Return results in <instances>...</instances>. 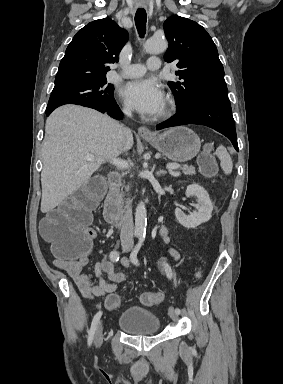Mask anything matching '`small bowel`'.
<instances>
[{
	"label": "small bowel",
	"instance_id": "1",
	"mask_svg": "<svg viewBox=\"0 0 283 384\" xmlns=\"http://www.w3.org/2000/svg\"><path fill=\"white\" fill-rule=\"evenodd\" d=\"M159 232L163 240L168 243L169 236L167 228L161 225ZM170 255L175 259L179 258L178 252L173 249L170 250ZM87 264V256L76 261L65 260L59 257L54 259V265L65 271L68 276L73 279L81 294L88 299L104 297L114 293L119 285L127 279V276L124 273L116 272L114 270L113 263L110 259L103 258L100 260L95 265L92 275L84 273L83 271ZM122 265L125 268H129V260L124 258L122 260ZM93 278L96 279V283H93Z\"/></svg>",
	"mask_w": 283,
	"mask_h": 384
}]
</instances>
